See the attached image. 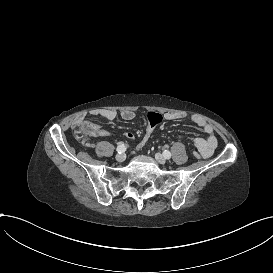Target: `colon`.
<instances>
[{
  "label": "colon",
  "instance_id": "obj_1",
  "mask_svg": "<svg viewBox=\"0 0 273 273\" xmlns=\"http://www.w3.org/2000/svg\"><path fill=\"white\" fill-rule=\"evenodd\" d=\"M146 121L149 125L145 129V136H143L137 143V149L142 151L144 147L151 141L153 137L154 127L162 123L163 118L159 113H151ZM74 130L72 137L76 141H81L84 144H89L93 140V136H98L102 132V126L96 122V118L92 114H82L73 121Z\"/></svg>",
  "mask_w": 273,
  "mask_h": 273
}]
</instances>
